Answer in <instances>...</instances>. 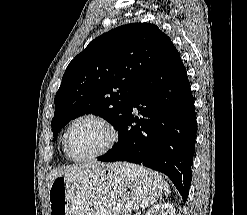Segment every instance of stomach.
Masks as SVG:
<instances>
[{"label":"stomach","instance_id":"0dacf381","mask_svg":"<svg viewBox=\"0 0 247 215\" xmlns=\"http://www.w3.org/2000/svg\"><path fill=\"white\" fill-rule=\"evenodd\" d=\"M163 178L129 163L106 164L86 175L59 176L49 187V215H123L154 203Z\"/></svg>","mask_w":247,"mask_h":215}]
</instances>
